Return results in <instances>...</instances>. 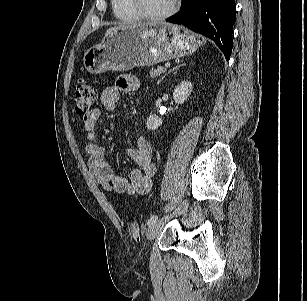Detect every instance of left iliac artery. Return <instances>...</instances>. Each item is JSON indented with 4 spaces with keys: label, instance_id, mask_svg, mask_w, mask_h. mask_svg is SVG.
I'll list each match as a JSON object with an SVG mask.
<instances>
[{
    "label": "left iliac artery",
    "instance_id": "1",
    "mask_svg": "<svg viewBox=\"0 0 307 301\" xmlns=\"http://www.w3.org/2000/svg\"><path fill=\"white\" fill-rule=\"evenodd\" d=\"M158 219V216L157 215H153L151 216L148 221H147V225L148 226H151L153 223H155Z\"/></svg>",
    "mask_w": 307,
    "mask_h": 301
}]
</instances>
